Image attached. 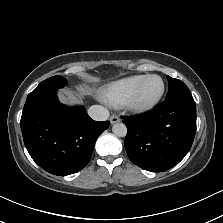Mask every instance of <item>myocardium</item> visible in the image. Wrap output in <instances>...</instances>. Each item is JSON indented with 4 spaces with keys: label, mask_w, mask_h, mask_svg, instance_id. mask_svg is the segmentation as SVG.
<instances>
[{
    "label": "myocardium",
    "mask_w": 223,
    "mask_h": 223,
    "mask_svg": "<svg viewBox=\"0 0 223 223\" xmlns=\"http://www.w3.org/2000/svg\"><path fill=\"white\" fill-rule=\"evenodd\" d=\"M151 77H157L160 79L161 81V89L159 91V93L157 94V96L148 104H138L136 102V98L140 89L141 84L148 78ZM165 91V84L164 81L162 79V77H160L159 75L156 74H148L145 75L142 80L139 82V84L137 85V87L135 88V90L129 95V97L127 98V100L124 103V108L126 111L133 113V114H138V115H142V114H146L151 112L159 103V101L161 100L163 94Z\"/></svg>",
    "instance_id": "obj_1"
}]
</instances>
